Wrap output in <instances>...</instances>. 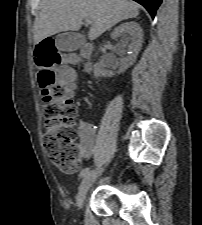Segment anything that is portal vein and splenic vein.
I'll return each mask as SVG.
<instances>
[{
    "label": "portal vein and splenic vein",
    "instance_id": "portal-vein-and-splenic-vein-1",
    "mask_svg": "<svg viewBox=\"0 0 202 225\" xmlns=\"http://www.w3.org/2000/svg\"><path fill=\"white\" fill-rule=\"evenodd\" d=\"M85 22H86L87 24H91V23H92V21H91L90 19H85Z\"/></svg>",
    "mask_w": 202,
    "mask_h": 225
}]
</instances>
